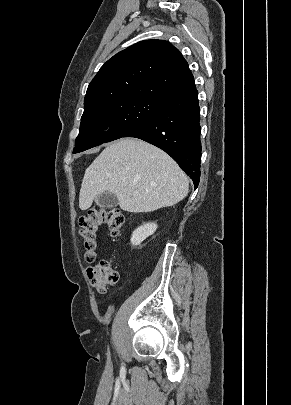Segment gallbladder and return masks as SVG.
<instances>
[{
	"label": "gallbladder",
	"mask_w": 291,
	"mask_h": 405,
	"mask_svg": "<svg viewBox=\"0 0 291 405\" xmlns=\"http://www.w3.org/2000/svg\"><path fill=\"white\" fill-rule=\"evenodd\" d=\"M95 202L100 208H114L118 205L117 197L111 193H103L97 196Z\"/></svg>",
	"instance_id": "gallbladder-1"
}]
</instances>
